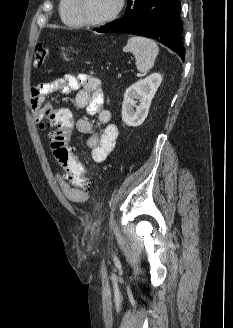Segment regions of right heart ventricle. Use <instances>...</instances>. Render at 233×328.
I'll list each match as a JSON object with an SVG mask.
<instances>
[{
    "label": "right heart ventricle",
    "mask_w": 233,
    "mask_h": 328,
    "mask_svg": "<svg viewBox=\"0 0 233 328\" xmlns=\"http://www.w3.org/2000/svg\"><path fill=\"white\" fill-rule=\"evenodd\" d=\"M74 4L75 0H60V17L65 25L71 28H79L82 25L76 17Z\"/></svg>",
    "instance_id": "obj_1"
}]
</instances>
